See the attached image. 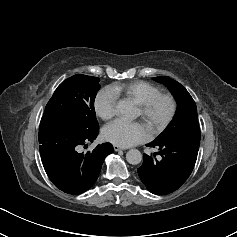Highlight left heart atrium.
Wrapping results in <instances>:
<instances>
[{"label": "left heart atrium", "mask_w": 237, "mask_h": 237, "mask_svg": "<svg viewBox=\"0 0 237 237\" xmlns=\"http://www.w3.org/2000/svg\"><path fill=\"white\" fill-rule=\"evenodd\" d=\"M103 139L119 147H130L146 141L149 132L140 123L115 121L102 130Z\"/></svg>", "instance_id": "1"}]
</instances>
